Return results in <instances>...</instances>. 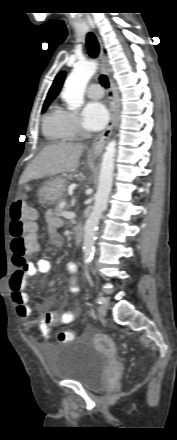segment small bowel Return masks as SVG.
I'll use <instances>...</instances> for the list:
<instances>
[{"label":"small bowel","instance_id":"1","mask_svg":"<svg viewBox=\"0 0 177 440\" xmlns=\"http://www.w3.org/2000/svg\"><path fill=\"white\" fill-rule=\"evenodd\" d=\"M45 221L50 243L54 246H62L64 239L58 231L63 225L62 220L57 217L53 211L48 210L45 213ZM50 269L51 263L49 260L36 258L26 266L15 269L8 280V288L11 291L12 299L16 304L18 316L26 322L27 327L38 326L39 338L48 344L52 343L51 327L60 324H69L75 320L78 314L77 308L59 313L51 309L49 303H45L42 306L43 314L41 319L32 318V309L27 304L28 296L25 293L27 280L38 273H47ZM67 269L70 273V290L72 293H77L78 286L75 277L77 266L75 263L71 262L68 264Z\"/></svg>","mask_w":177,"mask_h":440}]
</instances>
